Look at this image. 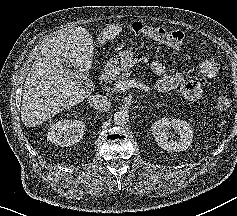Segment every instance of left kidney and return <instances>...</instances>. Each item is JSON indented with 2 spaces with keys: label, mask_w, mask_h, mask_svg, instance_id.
<instances>
[{
  "label": "left kidney",
  "mask_w": 237,
  "mask_h": 216,
  "mask_svg": "<svg viewBox=\"0 0 237 216\" xmlns=\"http://www.w3.org/2000/svg\"><path fill=\"white\" fill-rule=\"evenodd\" d=\"M152 133L157 145L170 152L183 151L192 141L191 127L181 120L160 119L152 126Z\"/></svg>",
  "instance_id": "left-kidney-1"
}]
</instances>
